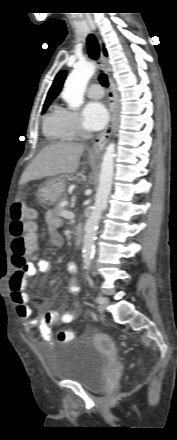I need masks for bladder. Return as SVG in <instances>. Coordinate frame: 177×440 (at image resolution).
I'll use <instances>...</instances> for the list:
<instances>
[{"instance_id":"1","label":"bladder","mask_w":177,"mask_h":440,"mask_svg":"<svg viewBox=\"0 0 177 440\" xmlns=\"http://www.w3.org/2000/svg\"><path fill=\"white\" fill-rule=\"evenodd\" d=\"M108 363L107 353L91 343L68 341L60 346L50 373L54 379L80 384L89 391H98Z\"/></svg>"}]
</instances>
